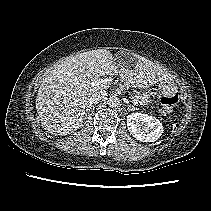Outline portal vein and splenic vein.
I'll use <instances>...</instances> for the list:
<instances>
[{
	"mask_svg": "<svg viewBox=\"0 0 211 211\" xmlns=\"http://www.w3.org/2000/svg\"><path fill=\"white\" fill-rule=\"evenodd\" d=\"M110 82H111V79H108V78L98 79L97 81H95L93 83V85H105V84H108ZM132 102H133L134 105H136V106L138 105V101L136 99H133Z\"/></svg>",
	"mask_w": 211,
	"mask_h": 211,
	"instance_id": "18ae733b",
	"label": "portal vein and splenic vein"
}]
</instances>
